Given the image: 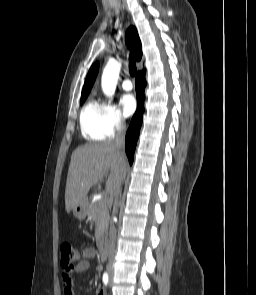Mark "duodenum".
I'll use <instances>...</instances> for the list:
<instances>
[{
	"label": "duodenum",
	"mask_w": 256,
	"mask_h": 295,
	"mask_svg": "<svg viewBox=\"0 0 256 295\" xmlns=\"http://www.w3.org/2000/svg\"><path fill=\"white\" fill-rule=\"evenodd\" d=\"M98 250H99V254H100V257L102 259H107L108 257V252H107V248H106V245L103 241H101L99 244H98Z\"/></svg>",
	"instance_id": "obj_1"
}]
</instances>
